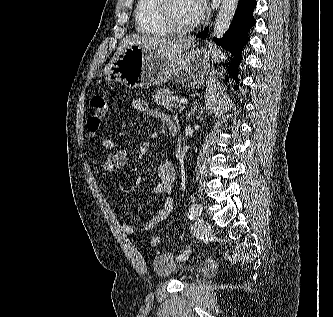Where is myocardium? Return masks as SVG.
<instances>
[{"instance_id":"1","label":"myocardium","mask_w":333,"mask_h":317,"mask_svg":"<svg viewBox=\"0 0 333 317\" xmlns=\"http://www.w3.org/2000/svg\"><path fill=\"white\" fill-rule=\"evenodd\" d=\"M154 12L158 22L169 33L178 36H185L194 32L197 28V23L190 27L182 28L177 26L170 17V5L172 0H154Z\"/></svg>"}]
</instances>
